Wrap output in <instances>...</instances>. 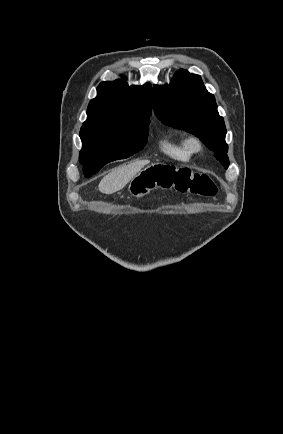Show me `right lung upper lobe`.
<instances>
[{
	"mask_svg": "<svg viewBox=\"0 0 283 434\" xmlns=\"http://www.w3.org/2000/svg\"><path fill=\"white\" fill-rule=\"evenodd\" d=\"M87 109L86 127H117L150 122L152 87L128 86L124 80L104 81Z\"/></svg>",
	"mask_w": 283,
	"mask_h": 434,
	"instance_id": "1",
	"label": "right lung upper lobe"
}]
</instances>
